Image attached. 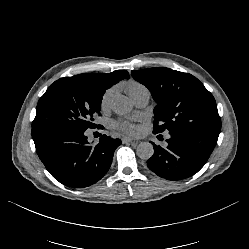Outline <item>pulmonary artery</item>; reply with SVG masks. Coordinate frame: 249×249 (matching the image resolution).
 Listing matches in <instances>:
<instances>
[{
	"mask_svg": "<svg viewBox=\"0 0 249 249\" xmlns=\"http://www.w3.org/2000/svg\"><path fill=\"white\" fill-rule=\"evenodd\" d=\"M132 99H133L134 104L138 108H143L149 103L150 93L144 92V93H141V94L133 97ZM166 137L169 138L170 137L169 134H167Z\"/></svg>",
	"mask_w": 249,
	"mask_h": 249,
	"instance_id": "e3ab8cb5",
	"label": "pulmonary artery"
}]
</instances>
